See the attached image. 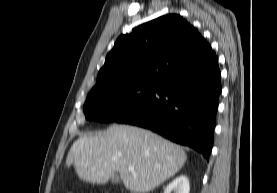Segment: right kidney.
<instances>
[{"instance_id": "1", "label": "right kidney", "mask_w": 277, "mask_h": 193, "mask_svg": "<svg viewBox=\"0 0 277 193\" xmlns=\"http://www.w3.org/2000/svg\"><path fill=\"white\" fill-rule=\"evenodd\" d=\"M190 184L185 175H181L173 180L164 190V193H189Z\"/></svg>"}]
</instances>
